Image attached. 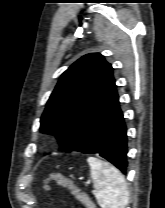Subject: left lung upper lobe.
<instances>
[{"instance_id":"obj_1","label":"left lung upper lobe","mask_w":165,"mask_h":208,"mask_svg":"<svg viewBox=\"0 0 165 208\" xmlns=\"http://www.w3.org/2000/svg\"><path fill=\"white\" fill-rule=\"evenodd\" d=\"M113 68L99 53L87 54L61 76L40 120V131L53 133L67 150L88 118L115 90Z\"/></svg>"}]
</instances>
